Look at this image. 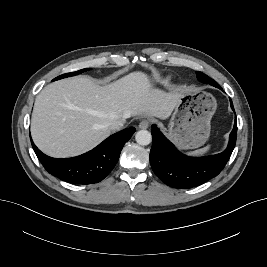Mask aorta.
<instances>
[{"label":"aorta","instance_id":"obj_1","mask_svg":"<svg viewBox=\"0 0 267 267\" xmlns=\"http://www.w3.org/2000/svg\"><path fill=\"white\" fill-rule=\"evenodd\" d=\"M135 140L139 145H148L152 141V135L147 130H140L136 133Z\"/></svg>","mask_w":267,"mask_h":267}]
</instances>
